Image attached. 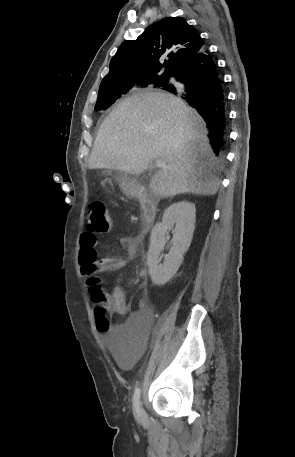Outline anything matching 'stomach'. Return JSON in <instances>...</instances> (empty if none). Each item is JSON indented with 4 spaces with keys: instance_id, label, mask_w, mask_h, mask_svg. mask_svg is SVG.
Returning <instances> with one entry per match:
<instances>
[{
    "instance_id": "1",
    "label": "stomach",
    "mask_w": 295,
    "mask_h": 457,
    "mask_svg": "<svg viewBox=\"0 0 295 457\" xmlns=\"http://www.w3.org/2000/svg\"><path fill=\"white\" fill-rule=\"evenodd\" d=\"M117 174L119 176V184H120L121 189L125 193L132 192L134 189V185L126 178V176L124 175L123 172L117 171Z\"/></svg>"
}]
</instances>
